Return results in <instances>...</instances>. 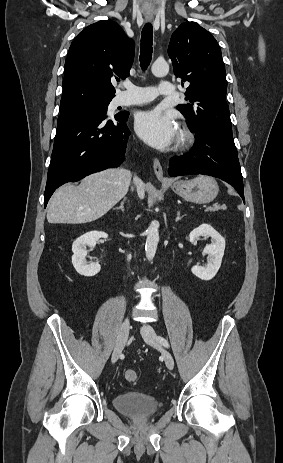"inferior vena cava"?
Returning a JSON list of instances; mask_svg holds the SVG:
<instances>
[{"instance_id": "obj_1", "label": "inferior vena cava", "mask_w": 283, "mask_h": 463, "mask_svg": "<svg viewBox=\"0 0 283 463\" xmlns=\"http://www.w3.org/2000/svg\"><path fill=\"white\" fill-rule=\"evenodd\" d=\"M134 182H135V184H137V183H141V180H140L138 177H135V179H134ZM127 259H128V260H130V259H131V257H130V256H128V257H127Z\"/></svg>"}]
</instances>
